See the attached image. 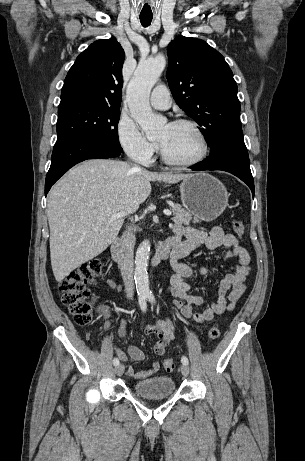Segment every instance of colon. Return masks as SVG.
<instances>
[{"label": "colon", "mask_w": 305, "mask_h": 461, "mask_svg": "<svg viewBox=\"0 0 305 461\" xmlns=\"http://www.w3.org/2000/svg\"><path fill=\"white\" fill-rule=\"evenodd\" d=\"M232 230L240 238L245 233L243 224L238 220L232 221ZM104 265L105 259H94L71 272L59 284L62 303L67 307L77 324L89 325L93 321L95 297L89 289V285L101 278ZM219 336V328L217 326L211 327L208 332L209 339L216 340ZM164 368L168 372L173 371L175 368L174 360L166 359L164 361Z\"/></svg>", "instance_id": "colon-1"}]
</instances>
